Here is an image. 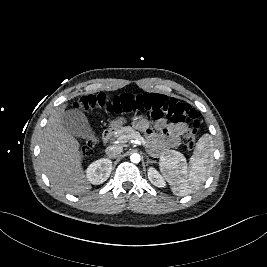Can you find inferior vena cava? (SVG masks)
Segmentation results:
<instances>
[{"label":"inferior vena cava","instance_id":"602c4592","mask_svg":"<svg viewBox=\"0 0 267 267\" xmlns=\"http://www.w3.org/2000/svg\"><path fill=\"white\" fill-rule=\"evenodd\" d=\"M123 151V147L120 145H112L108 146L105 150L107 156L109 158H116Z\"/></svg>","mask_w":267,"mask_h":267}]
</instances>
